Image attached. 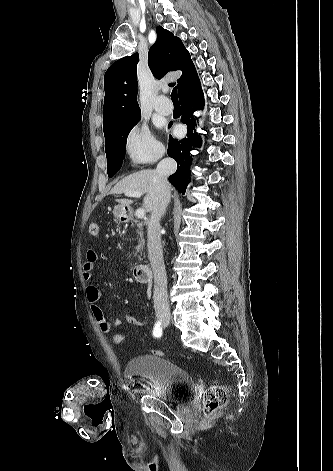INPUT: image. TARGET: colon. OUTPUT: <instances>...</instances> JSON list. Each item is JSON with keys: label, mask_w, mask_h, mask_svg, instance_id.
Segmentation results:
<instances>
[{"label": "colon", "mask_w": 333, "mask_h": 471, "mask_svg": "<svg viewBox=\"0 0 333 471\" xmlns=\"http://www.w3.org/2000/svg\"><path fill=\"white\" fill-rule=\"evenodd\" d=\"M89 233L92 236H96L99 233V226L97 223H91L89 225ZM124 335L121 332H116L112 336V341L116 346H120L124 343ZM153 355L161 356L164 353L160 350H153ZM228 395L226 388L221 384H215L208 388L204 393V412L206 416H209L216 410L224 407L227 403Z\"/></svg>", "instance_id": "obj_1"}]
</instances>
